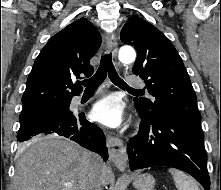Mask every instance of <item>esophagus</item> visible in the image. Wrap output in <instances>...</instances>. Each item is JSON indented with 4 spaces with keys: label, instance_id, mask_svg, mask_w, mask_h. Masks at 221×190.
Instances as JSON below:
<instances>
[{
    "label": "esophagus",
    "instance_id": "esophagus-1",
    "mask_svg": "<svg viewBox=\"0 0 221 190\" xmlns=\"http://www.w3.org/2000/svg\"><path fill=\"white\" fill-rule=\"evenodd\" d=\"M106 49L114 57L117 55L118 43L116 34H109L106 37ZM107 146L109 150V159L120 170H125L127 166V154L124 144L118 137L107 135Z\"/></svg>",
    "mask_w": 221,
    "mask_h": 190
}]
</instances>
